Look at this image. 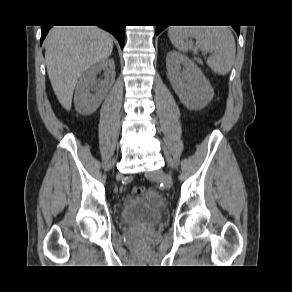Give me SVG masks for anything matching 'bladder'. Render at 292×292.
Masks as SVG:
<instances>
[{
    "instance_id": "1",
    "label": "bladder",
    "mask_w": 292,
    "mask_h": 292,
    "mask_svg": "<svg viewBox=\"0 0 292 292\" xmlns=\"http://www.w3.org/2000/svg\"><path fill=\"white\" fill-rule=\"evenodd\" d=\"M162 217L163 202L155 191L127 199L121 209V218L128 225H154Z\"/></svg>"
}]
</instances>
